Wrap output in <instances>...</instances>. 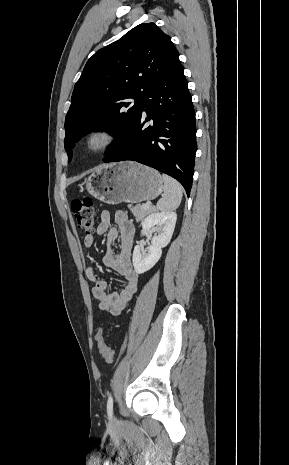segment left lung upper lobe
<instances>
[{
    "label": "left lung upper lobe",
    "instance_id": "obj_1",
    "mask_svg": "<svg viewBox=\"0 0 289 465\" xmlns=\"http://www.w3.org/2000/svg\"><path fill=\"white\" fill-rule=\"evenodd\" d=\"M180 66L171 38L154 23L140 24L98 50L74 86L66 115L64 147L69 161L73 144L97 129L116 138L106 156L115 151L139 116L144 94Z\"/></svg>",
    "mask_w": 289,
    "mask_h": 465
}]
</instances>
